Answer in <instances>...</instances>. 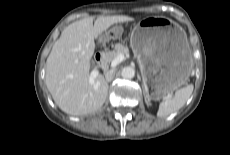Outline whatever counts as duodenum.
I'll use <instances>...</instances> for the list:
<instances>
[{"label": "duodenum", "instance_id": "410a0bca", "mask_svg": "<svg viewBox=\"0 0 230 155\" xmlns=\"http://www.w3.org/2000/svg\"><path fill=\"white\" fill-rule=\"evenodd\" d=\"M95 60L97 61V63L100 66H105L106 65V57H105V54L103 52H98L95 55Z\"/></svg>", "mask_w": 230, "mask_h": 155}]
</instances>
